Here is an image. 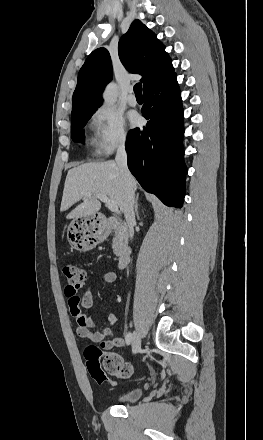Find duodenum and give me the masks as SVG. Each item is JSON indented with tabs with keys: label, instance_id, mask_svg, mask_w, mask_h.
Listing matches in <instances>:
<instances>
[{
	"label": "duodenum",
	"instance_id": "410a0bca",
	"mask_svg": "<svg viewBox=\"0 0 263 440\" xmlns=\"http://www.w3.org/2000/svg\"><path fill=\"white\" fill-rule=\"evenodd\" d=\"M103 225H106L108 227V231L112 229L121 231L124 227V224L122 222H120L115 218H110V217L105 219ZM130 255H131V248L123 241H121L119 244V255L117 259L118 268L121 269L128 264L130 260Z\"/></svg>",
	"mask_w": 263,
	"mask_h": 440
}]
</instances>
